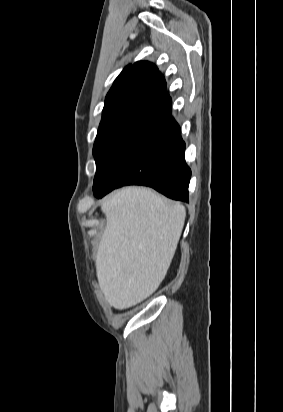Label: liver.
Instances as JSON below:
<instances>
[{"mask_svg":"<svg viewBox=\"0 0 283 412\" xmlns=\"http://www.w3.org/2000/svg\"><path fill=\"white\" fill-rule=\"evenodd\" d=\"M101 209L106 226L97 251V278L108 303L123 310L149 297L165 278L186 209L144 187L121 189Z\"/></svg>","mask_w":283,"mask_h":412,"instance_id":"1","label":"liver"}]
</instances>
